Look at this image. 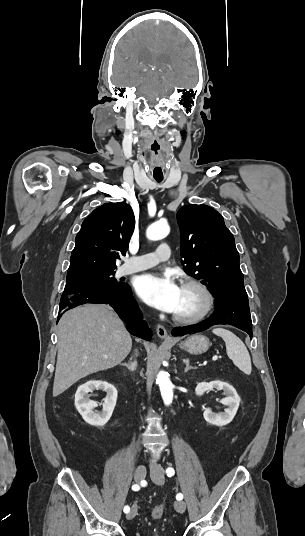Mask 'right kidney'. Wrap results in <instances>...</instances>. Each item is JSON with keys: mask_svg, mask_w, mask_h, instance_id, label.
Listing matches in <instances>:
<instances>
[{"mask_svg": "<svg viewBox=\"0 0 305 536\" xmlns=\"http://www.w3.org/2000/svg\"><path fill=\"white\" fill-rule=\"evenodd\" d=\"M93 390H104L107 394L103 404H99V406H103L102 412L94 410L98 404L88 398V392H93ZM116 402V388L112 384H108V382H101V380H89L86 384L79 386L75 394V406L83 420L87 424H91V426H105L112 416Z\"/></svg>", "mask_w": 305, "mask_h": 536, "instance_id": "ca27d5eb", "label": "right kidney"}]
</instances>
